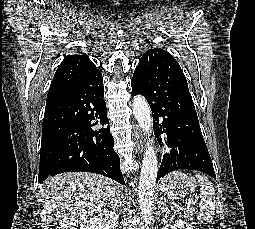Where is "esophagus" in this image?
<instances>
[{
	"label": "esophagus",
	"instance_id": "1",
	"mask_svg": "<svg viewBox=\"0 0 255 229\" xmlns=\"http://www.w3.org/2000/svg\"><path fill=\"white\" fill-rule=\"evenodd\" d=\"M134 140L136 143V152L140 153L142 152V147H143V135L141 130L136 127L134 130Z\"/></svg>",
	"mask_w": 255,
	"mask_h": 229
}]
</instances>
